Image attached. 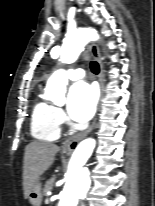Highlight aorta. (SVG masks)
<instances>
[{
	"label": "aorta",
	"mask_w": 155,
	"mask_h": 206,
	"mask_svg": "<svg viewBox=\"0 0 155 206\" xmlns=\"http://www.w3.org/2000/svg\"><path fill=\"white\" fill-rule=\"evenodd\" d=\"M97 32L89 28H79L66 35L61 48L60 60L63 63H73L83 51L84 46L91 40H97ZM68 77L64 70L54 72L49 78L45 95L53 103L59 105L65 101V89ZM96 141L87 138L76 147L68 166L66 183L61 192L58 206H77L90 188L89 171L85 166L92 155Z\"/></svg>",
	"instance_id": "aorta-1"
}]
</instances>
